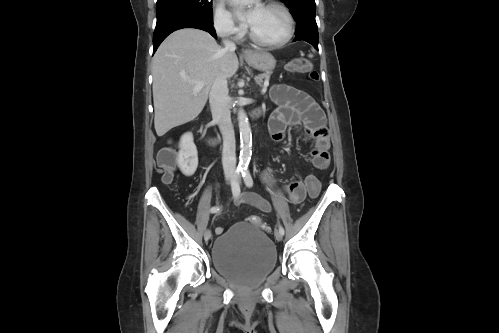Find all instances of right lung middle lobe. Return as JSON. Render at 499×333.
Segmentation results:
<instances>
[{
	"mask_svg": "<svg viewBox=\"0 0 499 333\" xmlns=\"http://www.w3.org/2000/svg\"><path fill=\"white\" fill-rule=\"evenodd\" d=\"M157 23L176 18H196L212 22L211 0H157Z\"/></svg>",
	"mask_w": 499,
	"mask_h": 333,
	"instance_id": "right-lung-middle-lobe-1",
	"label": "right lung middle lobe"
}]
</instances>
